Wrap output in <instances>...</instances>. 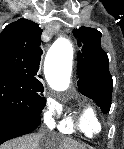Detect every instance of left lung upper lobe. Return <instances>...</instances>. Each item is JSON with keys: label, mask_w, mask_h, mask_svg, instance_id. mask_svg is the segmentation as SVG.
Returning a JSON list of instances; mask_svg holds the SVG:
<instances>
[{"label": "left lung upper lobe", "mask_w": 124, "mask_h": 149, "mask_svg": "<svg viewBox=\"0 0 124 149\" xmlns=\"http://www.w3.org/2000/svg\"><path fill=\"white\" fill-rule=\"evenodd\" d=\"M78 39L79 91L96 101L104 113H108L111 106L112 76L109 72V60L106 52L101 48L102 34L96 29L81 27L73 30Z\"/></svg>", "instance_id": "5c2ea615"}]
</instances>
